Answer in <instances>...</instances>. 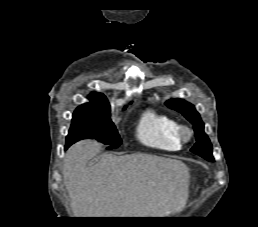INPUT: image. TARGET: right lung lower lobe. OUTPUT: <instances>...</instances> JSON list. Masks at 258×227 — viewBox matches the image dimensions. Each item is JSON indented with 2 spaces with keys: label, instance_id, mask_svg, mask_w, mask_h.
Returning a JSON list of instances; mask_svg holds the SVG:
<instances>
[{
  "label": "right lung lower lobe",
  "instance_id": "obj_1",
  "mask_svg": "<svg viewBox=\"0 0 258 227\" xmlns=\"http://www.w3.org/2000/svg\"><path fill=\"white\" fill-rule=\"evenodd\" d=\"M70 145H65V149H67Z\"/></svg>",
  "mask_w": 258,
  "mask_h": 227
}]
</instances>
